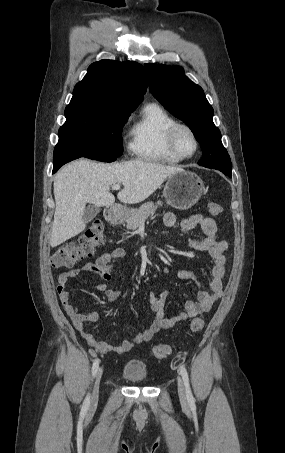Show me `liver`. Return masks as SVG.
Masks as SVG:
<instances>
[{
	"label": "liver",
	"mask_w": 285,
	"mask_h": 453,
	"mask_svg": "<svg viewBox=\"0 0 285 453\" xmlns=\"http://www.w3.org/2000/svg\"><path fill=\"white\" fill-rule=\"evenodd\" d=\"M182 171L144 160L105 164L78 159L63 167L54 177L55 213L50 245L56 247L80 234L86 227L83 213L87 203L111 206L115 197L110 186H124L120 202L136 204L153 194L169 176Z\"/></svg>",
	"instance_id": "liver-1"
}]
</instances>
